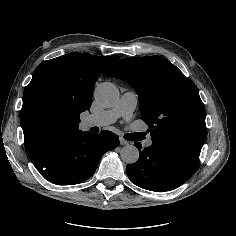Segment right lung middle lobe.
Masks as SVG:
<instances>
[{
	"instance_id": "dd1d6c3e",
	"label": "right lung middle lobe",
	"mask_w": 236,
	"mask_h": 236,
	"mask_svg": "<svg viewBox=\"0 0 236 236\" xmlns=\"http://www.w3.org/2000/svg\"><path fill=\"white\" fill-rule=\"evenodd\" d=\"M32 127L44 134L58 132L64 124V112L54 101L41 99L35 102L29 111Z\"/></svg>"
}]
</instances>
